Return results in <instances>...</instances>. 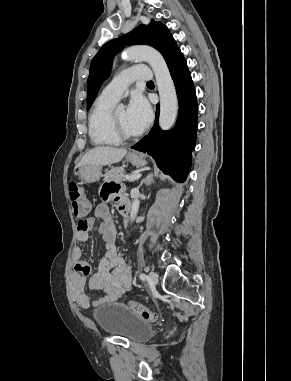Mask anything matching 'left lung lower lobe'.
<instances>
[{
	"label": "left lung lower lobe",
	"instance_id": "1",
	"mask_svg": "<svg viewBox=\"0 0 291 381\" xmlns=\"http://www.w3.org/2000/svg\"><path fill=\"white\" fill-rule=\"evenodd\" d=\"M179 100L175 127L162 131L158 126L159 109L151 132L133 149L151 155L158 167L178 182H184L191 165V150L197 132V100L187 62L180 49L167 62Z\"/></svg>",
	"mask_w": 291,
	"mask_h": 381
}]
</instances>
